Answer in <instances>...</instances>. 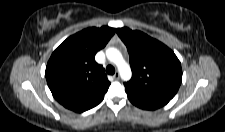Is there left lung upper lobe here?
I'll return each instance as SVG.
<instances>
[{
    "instance_id": "left-lung-upper-lobe-1",
    "label": "left lung upper lobe",
    "mask_w": 225,
    "mask_h": 132,
    "mask_svg": "<svg viewBox=\"0 0 225 132\" xmlns=\"http://www.w3.org/2000/svg\"><path fill=\"white\" fill-rule=\"evenodd\" d=\"M117 34L127 46L132 78L125 91L142 98L171 100L182 81V68L174 52L140 31L124 27Z\"/></svg>"
}]
</instances>
